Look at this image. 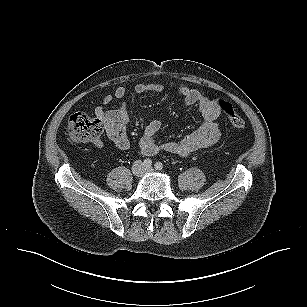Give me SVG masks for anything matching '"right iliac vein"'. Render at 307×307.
Returning a JSON list of instances; mask_svg holds the SVG:
<instances>
[{
  "label": "right iliac vein",
  "mask_w": 307,
  "mask_h": 307,
  "mask_svg": "<svg viewBox=\"0 0 307 307\" xmlns=\"http://www.w3.org/2000/svg\"><path fill=\"white\" fill-rule=\"evenodd\" d=\"M133 172L137 176H141L144 172V167L141 162H137L133 168Z\"/></svg>",
  "instance_id": "63e3f726"
}]
</instances>
